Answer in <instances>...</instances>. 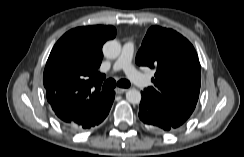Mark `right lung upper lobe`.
<instances>
[{"instance_id": "obj_1", "label": "right lung upper lobe", "mask_w": 244, "mask_h": 157, "mask_svg": "<svg viewBox=\"0 0 244 157\" xmlns=\"http://www.w3.org/2000/svg\"><path fill=\"white\" fill-rule=\"evenodd\" d=\"M115 36L113 26L78 27L54 45L43 81L47 100L63 123H86L108 101L110 92L100 90L105 75L97 69L104 42Z\"/></svg>"}]
</instances>
